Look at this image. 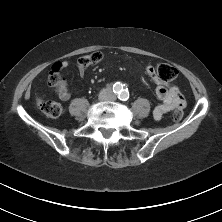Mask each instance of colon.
<instances>
[{
	"mask_svg": "<svg viewBox=\"0 0 222 222\" xmlns=\"http://www.w3.org/2000/svg\"><path fill=\"white\" fill-rule=\"evenodd\" d=\"M102 59V52L93 51L80 57L79 64L84 68H88L99 64ZM152 67H154L155 70L162 75V80L164 81V83H171L177 78V70L169 64L161 63ZM60 69L61 66L59 63L55 64L52 68V72L49 76V83L53 87L58 88L61 82V78L59 75ZM39 107L48 118H57L62 114L63 111L62 105L57 101L42 100L39 103ZM182 117V107L176 108L171 114V119L175 122L180 121Z\"/></svg>",
	"mask_w": 222,
	"mask_h": 222,
	"instance_id": "colon-1",
	"label": "colon"
}]
</instances>
